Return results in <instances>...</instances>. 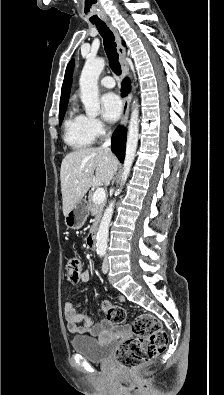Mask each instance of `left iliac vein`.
Listing matches in <instances>:
<instances>
[{"mask_svg": "<svg viewBox=\"0 0 224 395\" xmlns=\"http://www.w3.org/2000/svg\"><path fill=\"white\" fill-rule=\"evenodd\" d=\"M102 271L104 274H106L109 271V261L107 258L104 259L103 264H102Z\"/></svg>", "mask_w": 224, "mask_h": 395, "instance_id": "obj_1", "label": "left iliac vein"}]
</instances>
